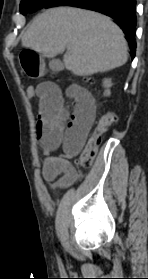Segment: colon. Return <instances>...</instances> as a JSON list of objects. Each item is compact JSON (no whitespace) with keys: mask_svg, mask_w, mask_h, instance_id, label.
<instances>
[{"mask_svg":"<svg viewBox=\"0 0 148 279\" xmlns=\"http://www.w3.org/2000/svg\"><path fill=\"white\" fill-rule=\"evenodd\" d=\"M84 81L92 85L95 83V79L93 77H85ZM36 87L33 85H29L26 88V94L28 97H35ZM117 120V116L112 111H106L101 115L99 120L96 123L94 132L84 147L82 153L78 157L76 163L81 168H88L93 163L98 147L101 143L102 136L106 132V130L112 126Z\"/></svg>","mask_w":148,"mask_h":279,"instance_id":"obj_1","label":"colon"}]
</instances>
